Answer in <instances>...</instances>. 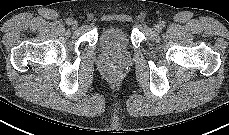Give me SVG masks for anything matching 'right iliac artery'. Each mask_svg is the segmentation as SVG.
Returning a JSON list of instances; mask_svg holds the SVG:
<instances>
[{
	"label": "right iliac artery",
	"instance_id": "82829eb1",
	"mask_svg": "<svg viewBox=\"0 0 229 135\" xmlns=\"http://www.w3.org/2000/svg\"><path fill=\"white\" fill-rule=\"evenodd\" d=\"M71 22H72V19H71V18H68V19L66 20V23H67L68 25H70Z\"/></svg>",
	"mask_w": 229,
	"mask_h": 135
}]
</instances>
